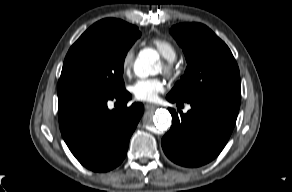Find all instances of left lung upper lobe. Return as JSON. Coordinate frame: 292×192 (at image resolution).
<instances>
[{
    "label": "left lung upper lobe",
    "mask_w": 292,
    "mask_h": 192,
    "mask_svg": "<svg viewBox=\"0 0 292 192\" xmlns=\"http://www.w3.org/2000/svg\"><path fill=\"white\" fill-rule=\"evenodd\" d=\"M170 33L183 48L188 65L168 96L184 102L206 97L240 99L239 68L220 38L200 23L177 24Z\"/></svg>",
    "instance_id": "5c2ea615"
}]
</instances>
